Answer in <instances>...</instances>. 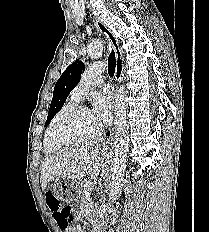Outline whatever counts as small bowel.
<instances>
[{
    "label": "small bowel",
    "mask_w": 209,
    "mask_h": 232,
    "mask_svg": "<svg viewBox=\"0 0 209 232\" xmlns=\"http://www.w3.org/2000/svg\"><path fill=\"white\" fill-rule=\"evenodd\" d=\"M84 214L92 219L97 218V214L93 209H90L88 212H86ZM62 229L64 230V232H81V229L78 227H66V228H62Z\"/></svg>",
    "instance_id": "obj_1"
}]
</instances>
